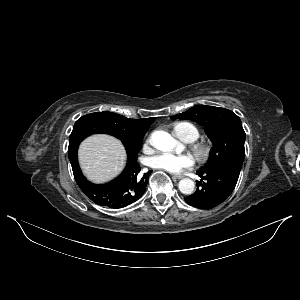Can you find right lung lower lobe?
<instances>
[{
	"instance_id": "98d812e1",
	"label": "right lung lower lobe",
	"mask_w": 300,
	"mask_h": 300,
	"mask_svg": "<svg viewBox=\"0 0 300 300\" xmlns=\"http://www.w3.org/2000/svg\"><path fill=\"white\" fill-rule=\"evenodd\" d=\"M74 178L84 192L94 203L119 209L137 201L145 193L148 179L152 171L144 175L140 173L137 158L128 156L124 171L115 180L102 185L93 184L82 175L78 165L77 153L69 156Z\"/></svg>"
}]
</instances>
